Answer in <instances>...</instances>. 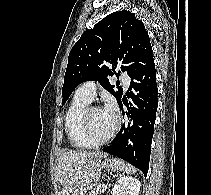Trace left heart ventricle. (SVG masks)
<instances>
[{
    "mask_svg": "<svg viewBox=\"0 0 211 195\" xmlns=\"http://www.w3.org/2000/svg\"><path fill=\"white\" fill-rule=\"evenodd\" d=\"M114 115L107 113L103 108L91 112L90 127L92 136L95 139L105 138L114 126Z\"/></svg>",
    "mask_w": 211,
    "mask_h": 195,
    "instance_id": "left-heart-ventricle-1",
    "label": "left heart ventricle"
}]
</instances>
